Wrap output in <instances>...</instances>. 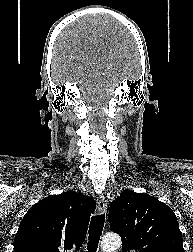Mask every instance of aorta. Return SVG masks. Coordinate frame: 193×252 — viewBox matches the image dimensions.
Listing matches in <instances>:
<instances>
[{
	"label": "aorta",
	"instance_id": "obj_1",
	"mask_svg": "<svg viewBox=\"0 0 193 252\" xmlns=\"http://www.w3.org/2000/svg\"><path fill=\"white\" fill-rule=\"evenodd\" d=\"M121 245V238L117 234H108L103 237L101 247L103 252H115Z\"/></svg>",
	"mask_w": 193,
	"mask_h": 252
}]
</instances>
